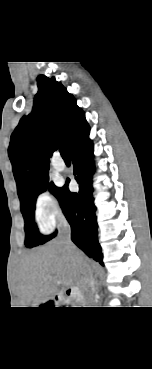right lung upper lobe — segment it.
<instances>
[{"label":"right lung upper lobe","mask_w":152,"mask_h":369,"mask_svg":"<svg viewBox=\"0 0 152 369\" xmlns=\"http://www.w3.org/2000/svg\"><path fill=\"white\" fill-rule=\"evenodd\" d=\"M37 85L32 113L20 120L8 148L20 200L48 176L52 153L61 145L69 151L90 129L85 113L60 82L41 75Z\"/></svg>","instance_id":"1"}]
</instances>
